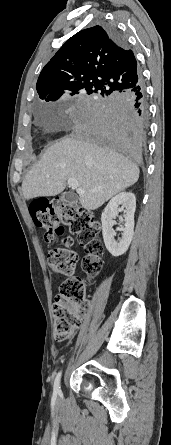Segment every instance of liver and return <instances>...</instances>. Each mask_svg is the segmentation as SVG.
<instances>
[{"label":"liver","mask_w":171,"mask_h":445,"mask_svg":"<svg viewBox=\"0 0 171 445\" xmlns=\"http://www.w3.org/2000/svg\"><path fill=\"white\" fill-rule=\"evenodd\" d=\"M70 178L76 179L85 190L79 197L81 206L96 210L135 184L139 168L128 158L108 152L96 141L66 137L50 146L28 172L22 183L24 199L60 194Z\"/></svg>","instance_id":"obj_1"}]
</instances>
